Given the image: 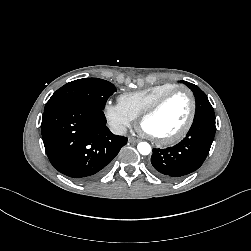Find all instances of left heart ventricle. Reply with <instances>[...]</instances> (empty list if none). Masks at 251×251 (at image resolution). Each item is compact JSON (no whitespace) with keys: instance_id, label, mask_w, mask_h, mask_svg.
Instances as JSON below:
<instances>
[{"instance_id":"b2bd125f","label":"left heart ventricle","mask_w":251,"mask_h":251,"mask_svg":"<svg viewBox=\"0 0 251 251\" xmlns=\"http://www.w3.org/2000/svg\"><path fill=\"white\" fill-rule=\"evenodd\" d=\"M190 99L185 92L173 95L161 108L143 124V130L157 138L176 134L186 123L190 113Z\"/></svg>"}]
</instances>
